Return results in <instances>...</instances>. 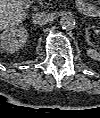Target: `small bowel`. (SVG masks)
Instances as JSON below:
<instances>
[{"mask_svg":"<svg viewBox=\"0 0 100 118\" xmlns=\"http://www.w3.org/2000/svg\"><path fill=\"white\" fill-rule=\"evenodd\" d=\"M76 4H77V7L79 8V10H81L82 12H86V13L93 12V6H91L85 0H77Z\"/></svg>","mask_w":100,"mask_h":118,"instance_id":"c3829d8e","label":"small bowel"}]
</instances>
